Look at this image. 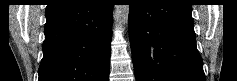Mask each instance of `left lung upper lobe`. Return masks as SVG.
Returning a JSON list of instances; mask_svg holds the SVG:
<instances>
[{
  "label": "left lung upper lobe",
  "mask_w": 237,
  "mask_h": 81,
  "mask_svg": "<svg viewBox=\"0 0 237 81\" xmlns=\"http://www.w3.org/2000/svg\"><path fill=\"white\" fill-rule=\"evenodd\" d=\"M182 1H185V2H190L189 0H182Z\"/></svg>",
  "instance_id": "5c2ea615"
}]
</instances>
